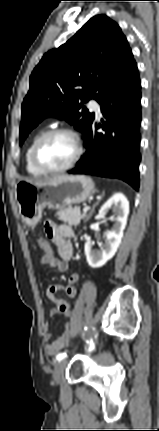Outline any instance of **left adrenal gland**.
<instances>
[{"label":"left adrenal gland","mask_w":159,"mask_h":431,"mask_svg":"<svg viewBox=\"0 0 159 431\" xmlns=\"http://www.w3.org/2000/svg\"><path fill=\"white\" fill-rule=\"evenodd\" d=\"M99 203V201H97L93 206H92V208H91V211H90V213H89V215H88V217H87V220L88 219H90V217L92 216V214H93V212H94V210H95V207H96V205Z\"/></svg>","instance_id":"1"}]
</instances>
